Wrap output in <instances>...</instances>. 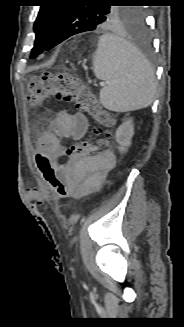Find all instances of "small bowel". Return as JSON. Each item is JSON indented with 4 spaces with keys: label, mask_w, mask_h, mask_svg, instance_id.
<instances>
[{
    "label": "small bowel",
    "mask_w": 184,
    "mask_h": 327,
    "mask_svg": "<svg viewBox=\"0 0 184 327\" xmlns=\"http://www.w3.org/2000/svg\"><path fill=\"white\" fill-rule=\"evenodd\" d=\"M88 130L89 120L83 113L62 111L39 139L38 153H51L54 157L51 164H38L36 160L37 165H54L61 158L62 175L58 177L68 183L71 197L98 190L116 164V157L111 151L96 156L92 153H64L62 138L78 141L86 136ZM70 160L84 161L74 165ZM24 193L29 199H35V206H45L47 195L41 188H25Z\"/></svg>",
    "instance_id": "small-bowel-1"
}]
</instances>
